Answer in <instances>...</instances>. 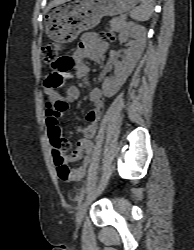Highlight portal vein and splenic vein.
<instances>
[{
  "label": "portal vein and splenic vein",
  "mask_w": 194,
  "mask_h": 250,
  "mask_svg": "<svg viewBox=\"0 0 194 250\" xmlns=\"http://www.w3.org/2000/svg\"><path fill=\"white\" fill-rule=\"evenodd\" d=\"M125 18V16H122V19H124Z\"/></svg>",
  "instance_id": "1"
}]
</instances>
